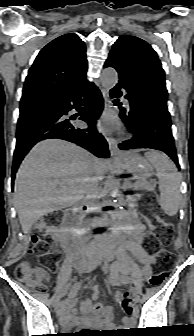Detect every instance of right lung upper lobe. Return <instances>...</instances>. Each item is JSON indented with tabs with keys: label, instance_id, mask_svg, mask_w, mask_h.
<instances>
[{
	"label": "right lung upper lobe",
	"instance_id": "cb5924a9",
	"mask_svg": "<svg viewBox=\"0 0 194 336\" xmlns=\"http://www.w3.org/2000/svg\"><path fill=\"white\" fill-rule=\"evenodd\" d=\"M86 71L84 42L74 33L56 38L40 51L28 71L20 109L66 94L86 80Z\"/></svg>",
	"mask_w": 194,
	"mask_h": 336
}]
</instances>
